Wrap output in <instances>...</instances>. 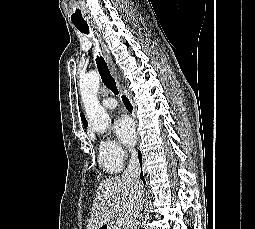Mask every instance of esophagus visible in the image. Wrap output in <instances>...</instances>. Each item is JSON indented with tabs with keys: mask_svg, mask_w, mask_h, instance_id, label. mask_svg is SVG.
<instances>
[{
	"mask_svg": "<svg viewBox=\"0 0 255 229\" xmlns=\"http://www.w3.org/2000/svg\"><path fill=\"white\" fill-rule=\"evenodd\" d=\"M93 28L95 29V27L93 26ZM95 34L97 35L98 37V40L102 46V50H103V53H104V57H105V60L107 62V65L109 67V70H110V73L111 75L113 76V78L115 79L116 81V84H117V87H118V90L120 92V94H123V91H122V86L120 84V81L118 80L117 76H116V69H115V66H114V63H113V60H112V57L110 56L109 52L107 51V49L105 48L104 46V43H103V40H102V37L100 35V33L95 29Z\"/></svg>",
	"mask_w": 255,
	"mask_h": 229,
	"instance_id": "obj_1",
	"label": "esophagus"
}]
</instances>
